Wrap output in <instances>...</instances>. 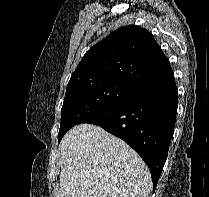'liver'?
<instances>
[{
    "label": "liver",
    "instance_id": "1",
    "mask_svg": "<svg viewBox=\"0 0 209 197\" xmlns=\"http://www.w3.org/2000/svg\"><path fill=\"white\" fill-rule=\"evenodd\" d=\"M57 197H148V167L123 140L93 124L70 129L60 145Z\"/></svg>",
    "mask_w": 209,
    "mask_h": 197
}]
</instances>
